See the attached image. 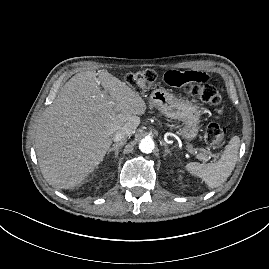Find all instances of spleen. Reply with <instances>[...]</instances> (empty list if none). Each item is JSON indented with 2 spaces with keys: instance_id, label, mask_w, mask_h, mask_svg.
<instances>
[{
  "instance_id": "spleen-1",
  "label": "spleen",
  "mask_w": 269,
  "mask_h": 269,
  "mask_svg": "<svg viewBox=\"0 0 269 269\" xmlns=\"http://www.w3.org/2000/svg\"><path fill=\"white\" fill-rule=\"evenodd\" d=\"M240 138L234 136L225 147L220 159L208 164L190 162L185 169L192 175L202 178L209 188H217L223 184L235 168Z\"/></svg>"
}]
</instances>
